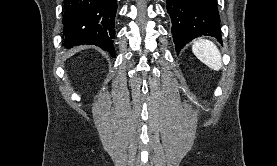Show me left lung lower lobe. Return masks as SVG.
<instances>
[{
  "mask_svg": "<svg viewBox=\"0 0 277 166\" xmlns=\"http://www.w3.org/2000/svg\"><path fill=\"white\" fill-rule=\"evenodd\" d=\"M172 20V36L176 51L192 39L205 35L221 42L216 0H166Z\"/></svg>",
  "mask_w": 277,
  "mask_h": 166,
  "instance_id": "0a47b994",
  "label": "left lung lower lobe"
}]
</instances>
